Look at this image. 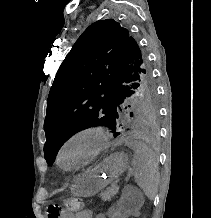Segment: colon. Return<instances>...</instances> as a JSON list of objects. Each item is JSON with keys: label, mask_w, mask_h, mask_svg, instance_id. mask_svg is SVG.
Returning <instances> with one entry per match:
<instances>
[{"label": "colon", "mask_w": 211, "mask_h": 218, "mask_svg": "<svg viewBox=\"0 0 211 218\" xmlns=\"http://www.w3.org/2000/svg\"><path fill=\"white\" fill-rule=\"evenodd\" d=\"M65 207L69 212L78 211L81 208V201L77 198L65 199Z\"/></svg>", "instance_id": "obj_1"}]
</instances>
